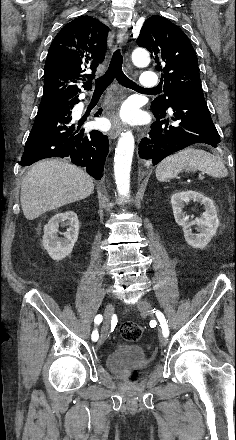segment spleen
Returning a JSON list of instances; mask_svg holds the SVG:
<instances>
[{
  "label": "spleen",
  "mask_w": 236,
  "mask_h": 440,
  "mask_svg": "<svg viewBox=\"0 0 236 440\" xmlns=\"http://www.w3.org/2000/svg\"><path fill=\"white\" fill-rule=\"evenodd\" d=\"M205 172L213 177H226L227 169L215 155L200 149L187 148L165 158L156 168L158 181L164 182L180 172Z\"/></svg>",
  "instance_id": "1"
}]
</instances>
